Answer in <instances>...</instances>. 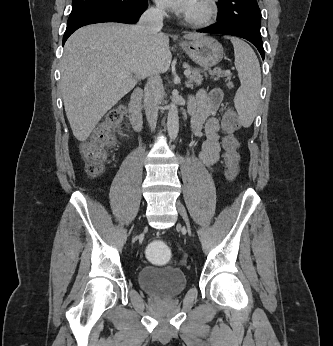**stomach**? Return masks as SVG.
Returning <instances> with one entry per match:
<instances>
[{
    "mask_svg": "<svg viewBox=\"0 0 333 346\" xmlns=\"http://www.w3.org/2000/svg\"><path fill=\"white\" fill-rule=\"evenodd\" d=\"M181 47L196 64L205 68L217 65L224 56L222 45L212 37L183 42Z\"/></svg>",
    "mask_w": 333,
    "mask_h": 346,
    "instance_id": "1",
    "label": "stomach"
}]
</instances>
